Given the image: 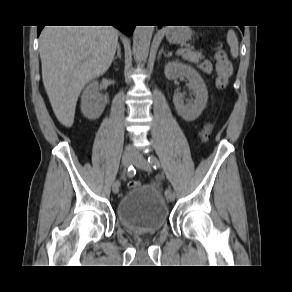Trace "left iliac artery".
Segmentation results:
<instances>
[{
    "label": "left iliac artery",
    "instance_id": "44dca946",
    "mask_svg": "<svg viewBox=\"0 0 292 292\" xmlns=\"http://www.w3.org/2000/svg\"><path fill=\"white\" fill-rule=\"evenodd\" d=\"M148 161H149V163L152 165V167L154 169H159L160 168V162L155 156L150 155L148 157ZM170 191H172L170 188L166 189L165 195H167Z\"/></svg>",
    "mask_w": 292,
    "mask_h": 292
}]
</instances>
